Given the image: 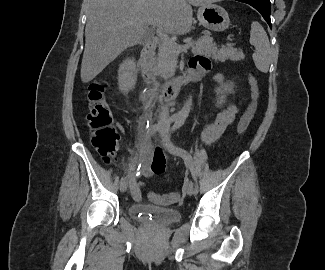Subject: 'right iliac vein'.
<instances>
[{
  "instance_id": "1",
  "label": "right iliac vein",
  "mask_w": 325,
  "mask_h": 270,
  "mask_svg": "<svg viewBox=\"0 0 325 270\" xmlns=\"http://www.w3.org/2000/svg\"><path fill=\"white\" fill-rule=\"evenodd\" d=\"M128 188V182L124 181L123 183L120 184V191L125 192Z\"/></svg>"
}]
</instances>
